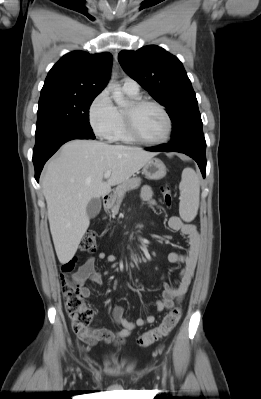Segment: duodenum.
Returning a JSON list of instances; mask_svg holds the SVG:
<instances>
[{"instance_id":"1","label":"duodenum","mask_w":261,"mask_h":399,"mask_svg":"<svg viewBox=\"0 0 261 399\" xmlns=\"http://www.w3.org/2000/svg\"><path fill=\"white\" fill-rule=\"evenodd\" d=\"M109 203H110V195L106 194V195L103 196V205L104 206H108Z\"/></svg>"}]
</instances>
